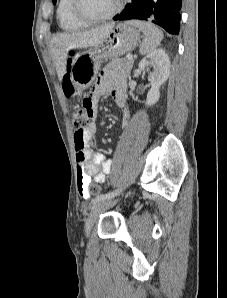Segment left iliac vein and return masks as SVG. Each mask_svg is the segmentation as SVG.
Returning <instances> with one entry per match:
<instances>
[{
	"mask_svg": "<svg viewBox=\"0 0 227 298\" xmlns=\"http://www.w3.org/2000/svg\"><path fill=\"white\" fill-rule=\"evenodd\" d=\"M115 203L116 201L108 199V200H101L93 206L85 223V232L87 235L90 233L94 224L98 220L100 214L106 209H108L109 207L113 206Z\"/></svg>",
	"mask_w": 227,
	"mask_h": 298,
	"instance_id": "4c4485c4",
	"label": "left iliac vein"
}]
</instances>
